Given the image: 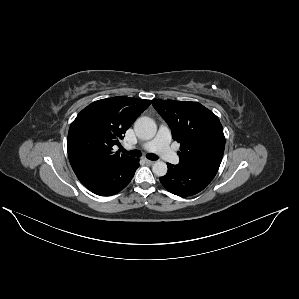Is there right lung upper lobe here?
<instances>
[{"mask_svg":"<svg viewBox=\"0 0 299 299\" xmlns=\"http://www.w3.org/2000/svg\"><path fill=\"white\" fill-rule=\"evenodd\" d=\"M150 100L117 96L95 101L72 122L67 138L70 164L75 174L104 164L132 159L114 152L126 130L148 108Z\"/></svg>","mask_w":299,"mask_h":299,"instance_id":"1","label":"right lung upper lobe"}]
</instances>
